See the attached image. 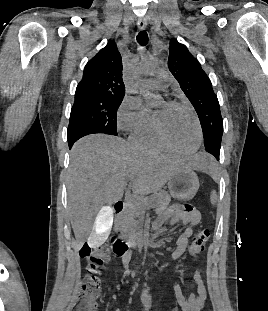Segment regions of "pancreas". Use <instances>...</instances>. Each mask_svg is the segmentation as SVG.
<instances>
[{
  "instance_id": "1",
  "label": "pancreas",
  "mask_w": 268,
  "mask_h": 311,
  "mask_svg": "<svg viewBox=\"0 0 268 311\" xmlns=\"http://www.w3.org/2000/svg\"><path fill=\"white\" fill-rule=\"evenodd\" d=\"M171 202V196L164 191L156 194L152 199H133L128 208L118 217L115 228L120 231L122 238H133L136 233L142 232L145 210L148 205L155 208L156 212H163Z\"/></svg>"
}]
</instances>
